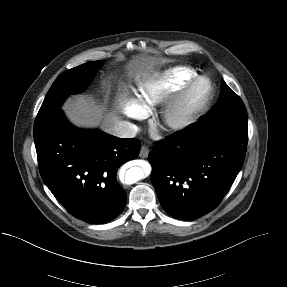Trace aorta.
I'll list each match as a JSON object with an SVG mask.
<instances>
[{
  "label": "aorta",
  "mask_w": 287,
  "mask_h": 287,
  "mask_svg": "<svg viewBox=\"0 0 287 287\" xmlns=\"http://www.w3.org/2000/svg\"><path fill=\"white\" fill-rule=\"evenodd\" d=\"M146 177V171L140 167H132L126 171L125 181L128 184H133Z\"/></svg>",
  "instance_id": "1"
}]
</instances>
